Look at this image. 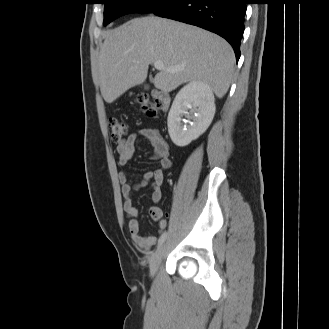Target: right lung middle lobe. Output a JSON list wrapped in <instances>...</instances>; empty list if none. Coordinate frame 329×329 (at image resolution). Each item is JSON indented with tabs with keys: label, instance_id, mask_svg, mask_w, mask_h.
<instances>
[{
	"label": "right lung middle lobe",
	"instance_id": "1",
	"mask_svg": "<svg viewBox=\"0 0 329 329\" xmlns=\"http://www.w3.org/2000/svg\"><path fill=\"white\" fill-rule=\"evenodd\" d=\"M170 1L172 0H103L105 4L103 25L130 13H153Z\"/></svg>",
	"mask_w": 329,
	"mask_h": 329
}]
</instances>
